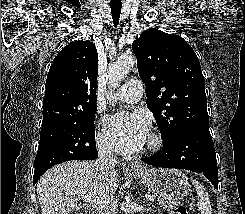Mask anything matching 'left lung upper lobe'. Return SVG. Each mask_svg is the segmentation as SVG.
Returning <instances> with one entry per match:
<instances>
[{"mask_svg":"<svg viewBox=\"0 0 245 214\" xmlns=\"http://www.w3.org/2000/svg\"><path fill=\"white\" fill-rule=\"evenodd\" d=\"M132 49L163 146L193 126H208L205 79L192 47L179 35L150 28Z\"/></svg>","mask_w":245,"mask_h":214,"instance_id":"1","label":"left lung upper lobe"}]
</instances>
